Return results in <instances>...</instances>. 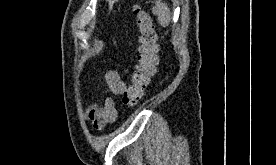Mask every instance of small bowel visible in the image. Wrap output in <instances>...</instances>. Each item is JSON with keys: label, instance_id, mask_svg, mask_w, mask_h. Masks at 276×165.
I'll use <instances>...</instances> for the list:
<instances>
[{"label": "small bowel", "instance_id": "obj_1", "mask_svg": "<svg viewBox=\"0 0 276 165\" xmlns=\"http://www.w3.org/2000/svg\"><path fill=\"white\" fill-rule=\"evenodd\" d=\"M107 91L112 95H121L126 90V83L121 75L115 70L105 73ZM87 119L95 129H102L105 125L113 123L117 117V111L113 101L107 99L103 107L92 106L86 112Z\"/></svg>", "mask_w": 276, "mask_h": 165}]
</instances>
